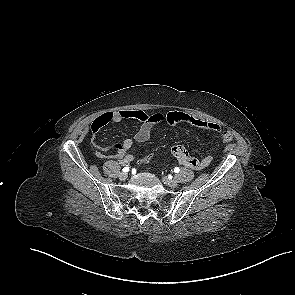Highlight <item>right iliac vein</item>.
Masks as SVG:
<instances>
[{"instance_id": "1", "label": "right iliac vein", "mask_w": 295, "mask_h": 295, "mask_svg": "<svg viewBox=\"0 0 295 295\" xmlns=\"http://www.w3.org/2000/svg\"><path fill=\"white\" fill-rule=\"evenodd\" d=\"M127 177H128V174L125 173V172H122V173L119 174V179L120 180H126Z\"/></svg>"}]
</instances>
